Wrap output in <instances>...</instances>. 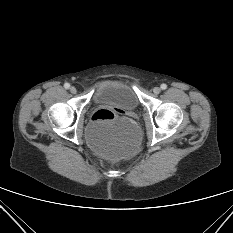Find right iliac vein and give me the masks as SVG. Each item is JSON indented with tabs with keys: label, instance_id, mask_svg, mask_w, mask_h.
Listing matches in <instances>:
<instances>
[{
	"label": "right iliac vein",
	"instance_id": "right-iliac-vein-1",
	"mask_svg": "<svg viewBox=\"0 0 233 233\" xmlns=\"http://www.w3.org/2000/svg\"><path fill=\"white\" fill-rule=\"evenodd\" d=\"M70 92H71L72 94H76V93H77L76 87L72 86V87L70 88Z\"/></svg>",
	"mask_w": 233,
	"mask_h": 233
}]
</instances>
